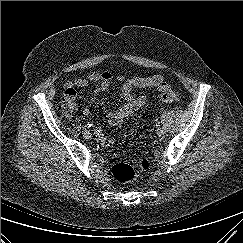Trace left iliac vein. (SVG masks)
<instances>
[{"mask_svg":"<svg viewBox=\"0 0 243 243\" xmlns=\"http://www.w3.org/2000/svg\"><path fill=\"white\" fill-rule=\"evenodd\" d=\"M156 133L159 137H161L162 135H164L165 131L162 127H158Z\"/></svg>","mask_w":243,"mask_h":243,"instance_id":"1","label":"left iliac vein"}]
</instances>
